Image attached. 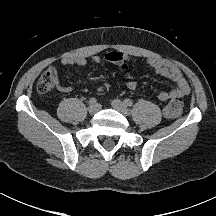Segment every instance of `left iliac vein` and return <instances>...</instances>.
Instances as JSON below:
<instances>
[{
	"instance_id": "1",
	"label": "left iliac vein",
	"mask_w": 216,
	"mask_h": 216,
	"mask_svg": "<svg viewBox=\"0 0 216 216\" xmlns=\"http://www.w3.org/2000/svg\"><path fill=\"white\" fill-rule=\"evenodd\" d=\"M112 107L123 114L124 116H127L129 114V109L127 108L126 104L118 99H114L111 102Z\"/></svg>"
}]
</instances>
